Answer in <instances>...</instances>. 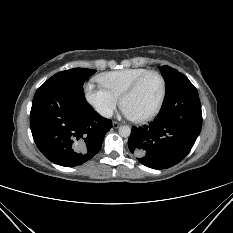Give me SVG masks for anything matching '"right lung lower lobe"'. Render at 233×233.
I'll list each match as a JSON object with an SVG mask.
<instances>
[{
	"instance_id": "98d812e1",
	"label": "right lung lower lobe",
	"mask_w": 233,
	"mask_h": 233,
	"mask_svg": "<svg viewBox=\"0 0 233 233\" xmlns=\"http://www.w3.org/2000/svg\"><path fill=\"white\" fill-rule=\"evenodd\" d=\"M112 121L86 101L84 90L71 84L46 81L32 102L30 128L43 155L55 164L73 167L96 155Z\"/></svg>"
}]
</instances>
